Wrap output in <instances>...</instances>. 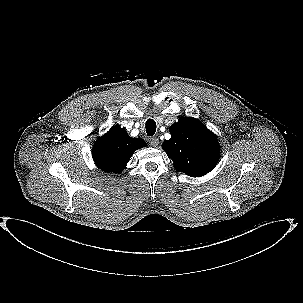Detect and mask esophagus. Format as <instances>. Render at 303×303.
Here are the masks:
<instances>
[{
	"mask_svg": "<svg viewBox=\"0 0 303 303\" xmlns=\"http://www.w3.org/2000/svg\"><path fill=\"white\" fill-rule=\"evenodd\" d=\"M149 143L151 146L156 147L159 144V139L157 137H151Z\"/></svg>",
	"mask_w": 303,
	"mask_h": 303,
	"instance_id": "1",
	"label": "esophagus"
}]
</instances>
